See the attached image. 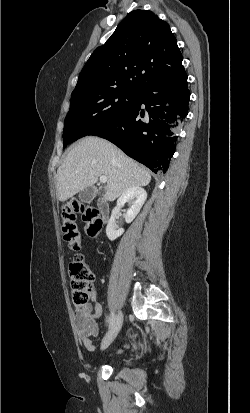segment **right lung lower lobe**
<instances>
[{
  "label": "right lung lower lobe",
  "mask_w": 250,
  "mask_h": 413,
  "mask_svg": "<svg viewBox=\"0 0 250 413\" xmlns=\"http://www.w3.org/2000/svg\"><path fill=\"white\" fill-rule=\"evenodd\" d=\"M184 72L146 84L135 101L89 135L109 140L153 172H166L178 130L188 114L190 92Z\"/></svg>",
  "instance_id": "98d812e1"
}]
</instances>
